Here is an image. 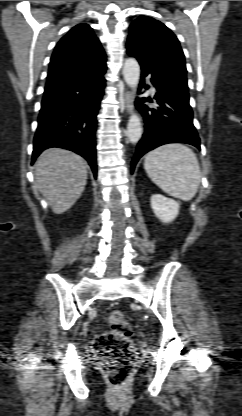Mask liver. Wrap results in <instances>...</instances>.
<instances>
[{
    "instance_id": "obj_1",
    "label": "liver",
    "mask_w": 242,
    "mask_h": 416,
    "mask_svg": "<svg viewBox=\"0 0 242 416\" xmlns=\"http://www.w3.org/2000/svg\"><path fill=\"white\" fill-rule=\"evenodd\" d=\"M87 162L61 148L45 150L35 163V185L55 214L71 208L83 193Z\"/></svg>"
}]
</instances>
